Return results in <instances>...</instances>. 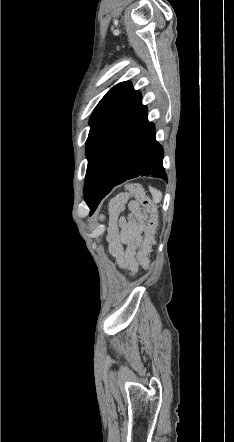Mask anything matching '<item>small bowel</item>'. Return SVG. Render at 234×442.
Segmentation results:
<instances>
[{"instance_id": "1", "label": "small bowel", "mask_w": 234, "mask_h": 442, "mask_svg": "<svg viewBox=\"0 0 234 442\" xmlns=\"http://www.w3.org/2000/svg\"><path fill=\"white\" fill-rule=\"evenodd\" d=\"M125 207L128 216H122ZM110 223L108 227V248L119 266L135 274L140 261L135 252L140 244L145 215L139 204L127 196H117L109 204Z\"/></svg>"}]
</instances>
